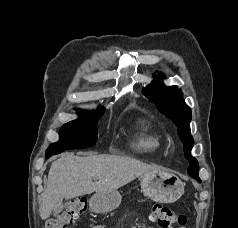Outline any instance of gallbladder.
<instances>
[{"label": "gallbladder", "mask_w": 238, "mask_h": 228, "mask_svg": "<svg viewBox=\"0 0 238 228\" xmlns=\"http://www.w3.org/2000/svg\"><path fill=\"white\" fill-rule=\"evenodd\" d=\"M63 206L57 207L56 209H54V212H60L62 210Z\"/></svg>", "instance_id": "gallbladder-1"}]
</instances>
